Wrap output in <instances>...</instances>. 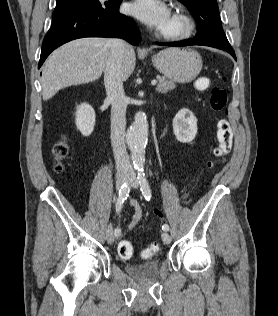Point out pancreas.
Segmentation results:
<instances>
[{
    "instance_id": "1",
    "label": "pancreas",
    "mask_w": 278,
    "mask_h": 316,
    "mask_svg": "<svg viewBox=\"0 0 278 316\" xmlns=\"http://www.w3.org/2000/svg\"><path fill=\"white\" fill-rule=\"evenodd\" d=\"M176 87L173 80L166 79L165 77L158 78V85L156 90L161 93H167Z\"/></svg>"
}]
</instances>
